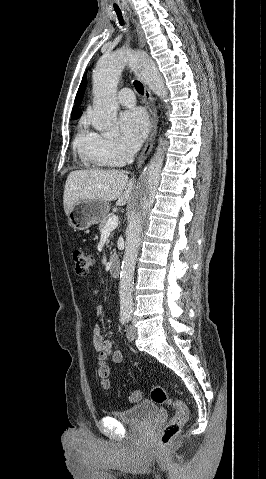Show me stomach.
Listing matches in <instances>:
<instances>
[{
	"label": "stomach",
	"instance_id": "1",
	"mask_svg": "<svg viewBox=\"0 0 266 479\" xmlns=\"http://www.w3.org/2000/svg\"><path fill=\"white\" fill-rule=\"evenodd\" d=\"M110 205L101 200H81L67 215L68 223L77 230H86L100 222L109 212Z\"/></svg>",
	"mask_w": 266,
	"mask_h": 479
}]
</instances>
